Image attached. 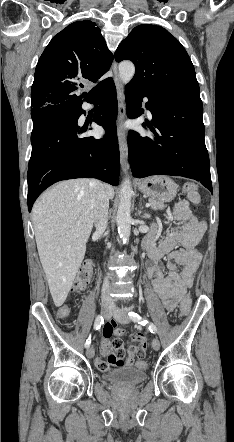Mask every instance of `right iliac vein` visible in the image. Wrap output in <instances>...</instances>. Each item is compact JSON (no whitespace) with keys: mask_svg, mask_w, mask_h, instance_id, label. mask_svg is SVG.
Listing matches in <instances>:
<instances>
[{"mask_svg":"<svg viewBox=\"0 0 234 442\" xmlns=\"http://www.w3.org/2000/svg\"><path fill=\"white\" fill-rule=\"evenodd\" d=\"M101 307H102V313H103L104 317L106 319H108L110 317V314H111V308H112L111 303L108 300H103L102 304H101ZM86 355H87L88 358H93L94 357L95 350H94V348L92 346L87 348Z\"/></svg>","mask_w":234,"mask_h":442,"instance_id":"obj_1","label":"right iliac vein"}]
</instances>
